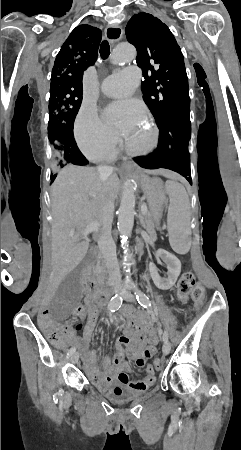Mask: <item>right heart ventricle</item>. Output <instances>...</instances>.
Wrapping results in <instances>:
<instances>
[{"mask_svg":"<svg viewBox=\"0 0 241 450\" xmlns=\"http://www.w3.org/2000/svg\"><path fill=\"white\" fill-rule=\"evenodd\" d=\"M132 125H134V124H125V126H132Z\"/></svg>","mask_w":241,"mask_h":450,"instance_id":"right-heart-ventricle-1","label":"right heart ventricle"}]
</instances>
